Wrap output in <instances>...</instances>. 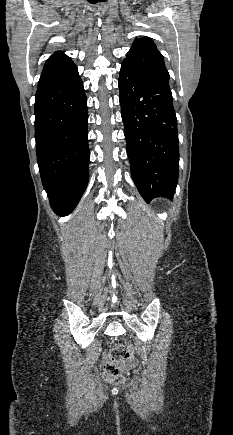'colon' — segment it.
<instances>
[{
    "instance_id": "5ec220e1",
    "label": "colon",
    "mask_w": 233,
    "mask_h": 435,
    "mask_svg": "<svg viewBox=\"0 0 233 435\" xmlns=\"http://www.w3.org/2000/svg\"><path fill=\"white\" fill-rule=\"evenodd\" d=\"M133 356V347L130 344H119L111 348L108 361L103 366V378L110 384L123 383L126 376L120 372L117 363L128 360Z\"/></svg>"
}]
</instances>
